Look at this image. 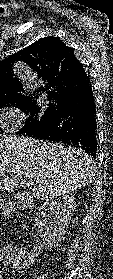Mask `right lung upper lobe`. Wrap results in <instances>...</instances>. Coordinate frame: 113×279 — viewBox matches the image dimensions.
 I'll list each match as a JSON object with an SVG mask.
<instances>
[{
	"label": "right lung upper lobe",
	"mask_w": 113,
	"mask_h": 279,
	"mask_svg": "<svg viewBox=\"0 0 113 279\" xmlns=\"http://www.w3.org/2000/svg\"><path fill=\"white\" fill-rule=\"evenodd\" d=\"M16 61H24L37 73L39 81L46 85L38 91H48L50 101L52 98L58 102L70 98L89 79L71 47L58 37H44L0 61V107L6 102H16V106L36 102L21 94L24 91L22 84L13 77L12 71Z\"/></svg>",
	"instance_id": "1"
}]
</instances>
